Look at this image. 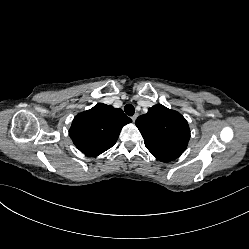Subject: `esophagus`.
Listing matches in <instances>:
<instances>
[{
  "instance_id": "34e87169",
  "label": "esophagus",
  "mask_w": 249,
  "mask_h": 249,
  "mask_svg": "<svg viewBox=\"0 0 249 249\" xmlns=\"http://www.w3.org/2000/svg\"><path fill=\"white\" fill-rule=\"evenodd\" d=\"M131 118H132V121L135 122V120L137 118V114L133 115Z\"/></svg>"
}]
</instances>
